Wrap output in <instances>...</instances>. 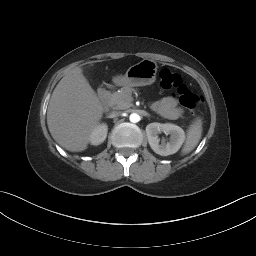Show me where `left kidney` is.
<instances>
[{
    "instance_id": "1",
    "label": "left kidney",
    "mask_w": 256,
    "mask_h": 256,
    "mask_svg": "<svg viewBox=\"0 0 256 256\" xmlns=\"http://www.w3.org/2000/svg\"><path fill=\"white\" fill-rule=\"evenodd\" d=\"M160 132L170 134L169 142L166 143L163 141L160 143V139L158 138V134ZM146 134L152 150L161 156L176 153L181 148L185 140L184 130L171 123H150L146 126Z\"/></svg>"
}]
</instances>
